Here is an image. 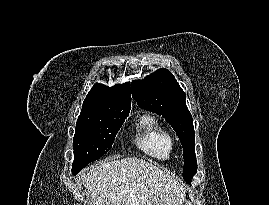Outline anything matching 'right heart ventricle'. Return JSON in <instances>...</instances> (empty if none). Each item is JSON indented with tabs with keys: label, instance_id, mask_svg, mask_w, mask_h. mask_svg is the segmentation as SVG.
<instances>
[{
	"label": "right heart ventricle",
	"instance_id": "right-heart-ventricle-1",
	"mask_svg": "<svg viewBox=\"0 0 269 205\" xmlns=\"http://www.w3.org/2000/svg\"><path fill=\"white\" fill-rule=\"evenodd\" d=\"M134 141L141 152L159 161L168 160L174 150V140L170 132L150 115L139 119Z\"/></svg>",
	"mask_w": 269,
	"mask_h": 205
}]
</instances>
